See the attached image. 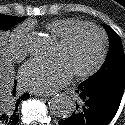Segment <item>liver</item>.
<instances>
[{
  "instance_id": "liver-1",
  "label": "liver",
  "mask_w": 125,
  "mask_h": 125,
  "mask_svg": "<svg viewBox=\"0 0 125 125\" xmlns=\"http://www.w3.org/2000/svg\"><path fill=\"white\" fill-rule=\"evenodd\" d=\"M14 71L5 48V42L0 36V101H7L14 85Z\"/></svg>"
}]
</instances>
